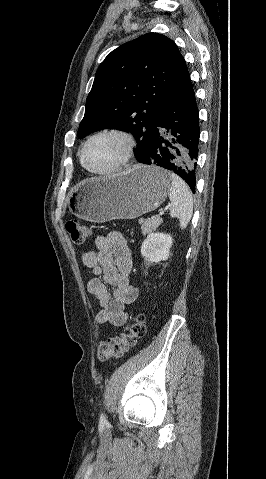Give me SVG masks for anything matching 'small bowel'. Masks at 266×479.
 I'll use <instances>...</instances> for the list:
<instances>
[{
  "mask_svg": "<svg viewBox=\"0 0 266 479\" xmlns=\"http://www.w3.org/2000/svg\"><path fill=\"white\" fill-rule=\"evenodd\" d=\"M94 245L83 253L82 262L95 276L87 282L86 288L97 298L100 306L96 322L120 327L129 316L126 306L138 297V289L130 285L133 268L131 251L118 231L97 236Z\"/></svg>",
  "mask_w": 266,
  "mask_h": 479,
  "instance_id": "obj_1",
  "label": "small bowel"
}]
</instances>
